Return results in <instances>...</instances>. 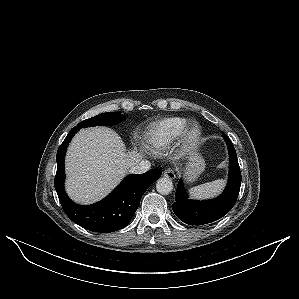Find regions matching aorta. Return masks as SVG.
<instances>
[{
    "instance_id": "aorta-1",
    "label": "aorta",
    "mask_w": 299,
    "mask_h": 299,
    "mask_svg": "<svg viewBox=\"0 0 299 299\" xmlns=\"http://www.w3.org/2000/svg\"><path fill=\"white\" fill-rule=\"evenodd\" d=\"M156 190L162 195H168L173 190L172 180L169 178H160L156 182Z\"/></svg>"
}]
</instances>
